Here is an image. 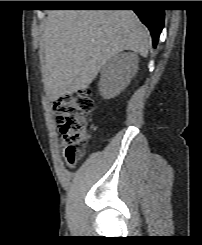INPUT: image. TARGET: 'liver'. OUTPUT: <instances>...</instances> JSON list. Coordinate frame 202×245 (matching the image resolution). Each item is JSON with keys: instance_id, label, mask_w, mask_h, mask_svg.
Wrapping results in <instances>:
<instances>
[{"instance_id": "liver-1", "label": "liver", "mask_w": 202, "mask_h": 245, "mask_svg": "<svg viewBox=\"0 0 202 245\" xmlns=\"http://www.w3.org/2000/svg\"><path fill=\"white\" fill-rule=\"evenodd\" d=\"M42 38L50 100L87 88L118 53L131 50L146 57L151 47L149 32L131 10H51Z\"/></svg>"}]
</instances>
